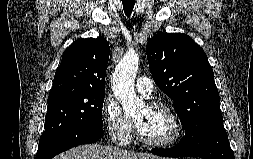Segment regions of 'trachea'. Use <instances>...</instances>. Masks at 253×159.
<instances>
[{"label": "trachea", "instance_id": "1", "mask_svg": "<svg viewBox=\"0 0 253 159\" xmlns=\"http://www.w3.org/2000/svg\"><path fill=\"white\" fill-rule=\"evenodd\" d=\"M122 4L126 16L130 17L135 5V0H122Z\"/></svg>", "mask_w": 253, "mask_h": 159}]
</instances>
